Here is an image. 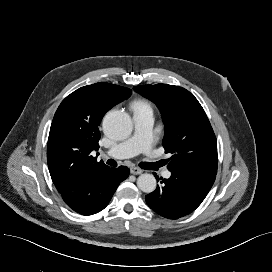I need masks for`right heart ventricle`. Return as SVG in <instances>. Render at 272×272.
I'll return each mask as SVG.
<instances>
[{"instance_id":"right-heart-ventricle-1","label":"right heart ventricle","mask_w":272,"mask_h":272,"mask_svg":"<svg viewBox=\"0 0 272 272\" xmlns=\"http://www.w3.org/2000/svg\"><path fill=\"white\" fill-rule=\"evenodd\" d=\"M132 108L134 111H152L151 104L144 99L133 102Z\"/></svg>"}]
</instances>
